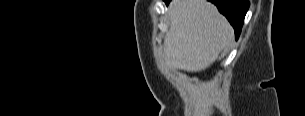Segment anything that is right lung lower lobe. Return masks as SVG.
Here are the masks:
<instances>
[{
	"mask_svg": "<svg viewBox=\"0 0 305 116\" xmlns=\"http://www.w3.org/2000/svg\"><path fill=\"white\" fill-rule=\"evenodd\" d=\"M166 4L170 0H164ZM215 4L218 10L228 19L230 24L233 26L235 31V38L238 39L242 25L244 22V17L249 8L248 0H209Z\"/></svg>",
	"mask_w": 305,
	"mask_h": 116,
	"instance_id": "right-lung-lower-lobe-1",
	"label": "right lung lower lobe"
}]
</instances>
